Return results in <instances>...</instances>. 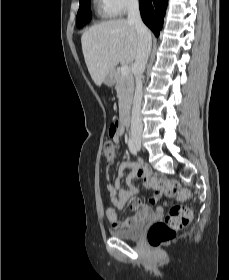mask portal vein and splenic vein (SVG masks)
I'll return each instance as SVG.
<instances>
[{"label":"portal vein and splenic vein","instance_id":"portal-vein-and-splenic-vein-1","mask_svg":"<svg viewBox=\"0 0 229 280\" xmlns=\"http://www.w3.org/2000/svg\"><path fill=\"white\" fill-rule=\"evenodd\" d=\"M120 72L123 76L129 75V72H130L129 66L127 64L122 65Z\"/></svg>","mask_w":229,"mask_h":280}]
</instances>
